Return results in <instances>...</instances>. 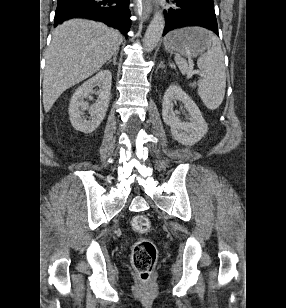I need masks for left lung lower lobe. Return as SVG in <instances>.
<instances>
[{
	"instance_id": "obj_1",
	"label": "left lung lower lobe",
	"mask_w": 286,
	"mask_h": 308,
	"mask_svg": "<svg viewBox=\"0 0 286 308\" xmlns=\"http://www.w3.org/2000/svg\"><path fill=\"white\" fill-rule=\"evenodd\" d=\"M172 3L174 6L164 12L163 35L187 26H201L219 35L213 0H174Z\"/></svg>"
}]
</instances>
